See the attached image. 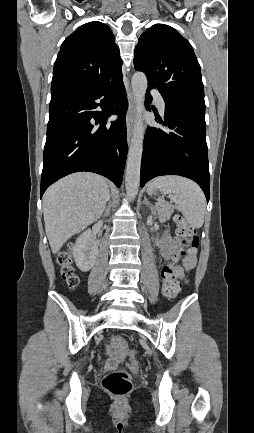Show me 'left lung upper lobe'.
Instances as JSON below:
<instances>
[{
	"label": "left lung upper lobe",
	"mask_w": 254,
	"mask_h": 433,
	"mask_svg": "<svg viewBox=\"0 0 254 433\" xmlns=\"http://www.w3.org/2000/svg\"><path fill=\"white\" fill-rule=\"evenodd\" d=\"M134 66L146 74L165 102L192 103L205 109L201 70L190 43L174 28L155 24L139 38Z\"/></svg>",
	"instance_id": "obj_1"
}]
</instances>
